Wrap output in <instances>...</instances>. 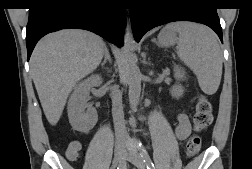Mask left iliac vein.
Listing matches in <instances>:
<instances>
[{
    "label": "left iliac vein",
    "mask_w": 252,
    "mask_h": 169,
    "mask_svg": "<svg viewBox=\"0 0 252 169\" xmlns=\"http://www.w3.org/2000/svg\"><path fill=\"white\" fill-rule=\"evenodd\" d=\"M125 160H129L133 163L138 169H145L146 164L143 161V158L136 151H131L128 154L124 155Z\"/></svg>",
    "instance_id": "obj_1"
}]
</instances>
